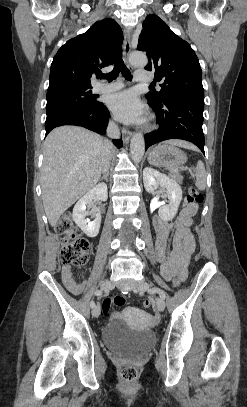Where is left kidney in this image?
<instances>
[{
  "instance_id": "left-kidney-1",
  "label": "left kidney",
  "mask_w": 247,
  "mask_h": 407,
  "mask_svg": "<svg viewBox=\"0 0 247 407\" xmlns=\"http://www.w3.org/2000/svg\"><path fill=\"white\" fill-rule=\"evenodd\" d=\"M143 182L148 193H154L159 186L166 189L169 204L160 206L158 214L163 221L172 220L182 200L180 185L175 180L150 167L143 171Z\"/></svg>"
}]
</instances>
